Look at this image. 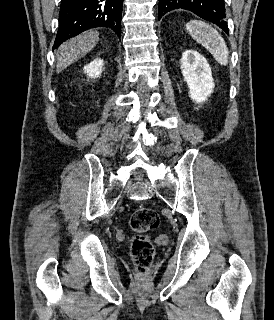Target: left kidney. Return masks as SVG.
<instances>
[{"mask_svg": "<svg viewBox=\"0 0 274 320\" xmlns=\"http://www.w3.org/2000/svg\"><path fill=\"white\" fill-rule=\"evenodd\" d=\"M180 62L182 76L189 88V98L195 104L205 102L215 88L211 68L206 58L196 50H185Z\"/></svg>", "mask_w": 274, "mask_h": 320, "instance_id": "left-kidney-1", "label": "left kidney"}]
</instances>
